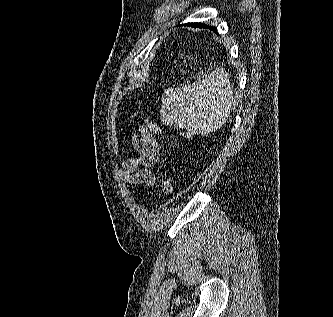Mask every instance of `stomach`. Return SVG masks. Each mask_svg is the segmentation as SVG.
<instances>
[{
    "label": "stomach",
    "mask_w": 333,
    "mask_h": 317,
    "mask_svg": "<svg viewBox=\"0 0 333 317\" xmlns=\"http://www.w3.org/2000/svg\"><path fill=\"white\" fill-rule=\"evenodd\" d=\"M212 71H203V75H186V82H224V81H209L208 75Z\"/></svg>",
    "instance_id": "obj_1"
}]
</instances>
